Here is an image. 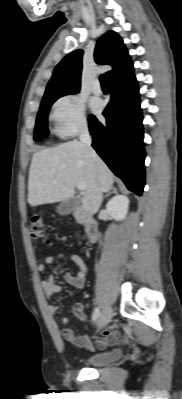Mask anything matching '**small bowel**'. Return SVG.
Wrapping results in <instances>:
<instances>
[{
	"mask_svg": "<svg viewBox=\"0 0 182 399\" xmlns=\"http://www.w3.org/2000/svg\"><path fill=\"white\" fill-rule=\"evenodd\" d=\"M66 259L72 261L77 267V272L75 274L69 273L65 276L66 281L73 287L82 288L85 285L87 267L82 257L76 253L59 252L47 255L43 263L37 266V269L39 272L43 273L46 271L47 265H52L57 261ZM41 285L48 301H51L55 294H61L63 292L62 286L56 282V277L54 275H50L47 279L43 280ZM58 310L59 306L56 303L51 302L49 304L48 311L51 316H55ZM73 313L81 320H86L82 304H76L73 307ZM68 323L69 319L65 316L59 319V324L62 326L61 334L64 339L74 346L90 349L91 342L89 337L85 334L76 335L71 328L67 327ZM100 334V338L96 341V346L99 349H105L115 344L120 339V329L115 325L105 328Z\"/></svg>",
	"mask_w": 182,
	"mask_h": 399,
	"instance_id": "c3829d8e",
	"label": "small bowel"
}]
</instances>
